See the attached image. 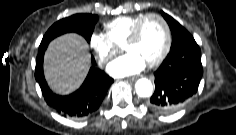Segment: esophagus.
<instances>
[{"label":"esophagus","mask_w":236,"mask_h":135,"mask_svg":"<svg viewBox=\"0 0 236 135\" xmlns=\"http://www.w3.org/2000/svg\"><path fill=\"white\" fill-rule=\"evenodd\" d=\"M136 80V78H134V77H130V78H127L126 79V81H128V82H133V81H135Z\"/></svg>","instance_id":"obj_1"}]
</instances>
